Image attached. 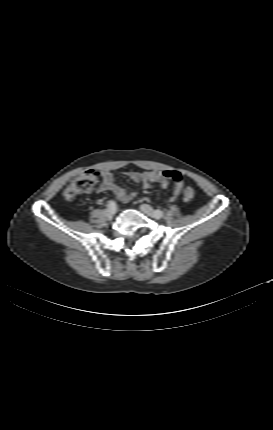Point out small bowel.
<instances>
[{
	"mask_svg": "<svg viewBox=\"0 0 273 430\" xmlns=\"http://www.w3.org/2000/svg\"><path fill=\"white\" fill-rule=\"evenodd\" d=\"M126 174L132 181L139 183L144 189H148L154 184H157L162 189H166L170 184V180H173L174 189L173 194L168 198L169 201L175 200L183 189V181L180 175L172 170L145 172L129 171ZM100 175L102 178V182L98 187L100 192H111L121 202H128L136 196V191L127 192L125 189L115 184L113 174L110 171L102 170Z\"/></svg>",
	"mask_w": 273,
	"mask_h": 430,
	"instance_id": "small-bowel-1",
	"label": "small bowel"
}]
</instances>
